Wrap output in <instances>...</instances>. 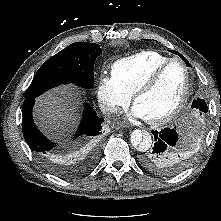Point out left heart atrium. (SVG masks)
<instances>
[{"mask_svg":"<svg viewBox=\"0 0 221 221\" xmlns=\"http://www.w3.org/2000/svg\"><path fill=\"white\" fill-rule=\"evenodd\" d=\"M131 116L134 118H147L144 112L141 110V108L136 104L133 106L131 110Z\"/></svg>","mask_w":221,"mask_h":221,"instance_id":"1","label":"left heart atrium"}]
</instances>
